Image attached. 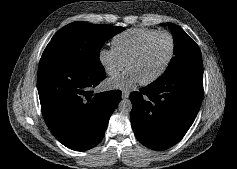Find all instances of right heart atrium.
<instances>
[{
  "mask_svg": "<svg viewBox=\"0 0 237 169\" xmlns=\"http://www.w3.org/2000/svg\"><path fill=\"white\" fill-rule=\"evenodd\" d=\"M98 59L105 72L109 76L118 75L125 68L126 62L112 48H101L98 51Z\"/></svg>",
  "mask_w": 237,
  "mask_h": 169,
  "instance_id": "right-heart-atrium-1",
  "label": "right heart atrium"
}]
</instances>
